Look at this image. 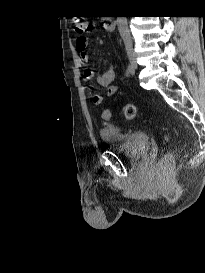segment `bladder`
I'll use <instances>...</instances> for the list:
<instances>
[{"instance_id":"31cf9c89","label":"bladder","mask_w":205,"mask_h":273,"mask_svg":"<svg viewBox=\"0 0 205 273\" xmlns=\"http://www.w3.org/2000/svg\"><path fill=\"white\" fill-rule=\"evenodd\" d=\"M100 136L115 154L128 159H137L150 149V137L141 130H122L116 125L105 124L100 129Z\"/></svg>"}]
</instances>
